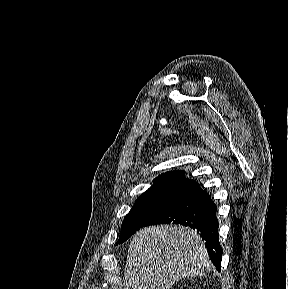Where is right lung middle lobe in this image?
Masks as SVG:
<instances>
[{
  "instance_id": "dd1d6c3e",
  "label": "right lung middle lobe",
  "mask_w": 288,
  "mask_h": 289,
  "mask_svg": "<svg viewBox=\"0 0 288 289\" xmlns=\"http://www.w3.org/2000/svg\"><path fill=\"white\" fill-rule=\"evenodd\" d=\"M186 190L172 188L148 189L135 202L124 219L117 244L123 243L138 229L166 212L180 201Z\"/></svg>"
}]
</instances>
